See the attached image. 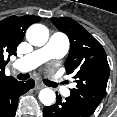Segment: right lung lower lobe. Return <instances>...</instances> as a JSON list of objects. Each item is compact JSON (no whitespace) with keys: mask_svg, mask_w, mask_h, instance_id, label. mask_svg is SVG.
<instances>
[{"mask_svg":"<svg viewBox=\"0 0 117 117\" xmlns=\"http://www.w3.org/2000/svg\"><path fill=\"white\" fill-rule=\"evenodd\" d=\"M34 80L26 82L17 80L9 83L0 90V117H14L16 114L18 98L34 87Z\"/></svg>","mask_w":117,"mask_h":117,"instance_id":"right-lung-lower-lobe-1","label":"right lung lower lobe"}]
</instances>
